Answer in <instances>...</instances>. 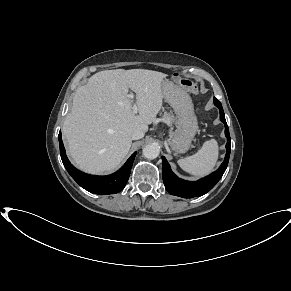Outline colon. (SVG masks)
<instances>
[{
	"mask_svg": "<svg viewBox=\"0 0 291 291\" xmlns=\"http://www.w3.org/2000/svg\"><path fill=\"white\" fill-rule=\"evenodd\" d=\"M181 84L184 86H192L193 81L189 78H181Z\"/></svg>",
	"mask_w": 291,
	"mask_h": 291,
	"instance_id": "obj_1",
	"label": "colon"
}]
</instances>
